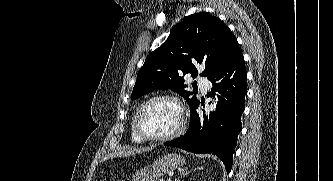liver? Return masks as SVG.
Instances as JSON below:
<instances>
[{"label": "liver", "mask_w": 333, "mask_h": 181, "mask_svg": "<svg viewBox=\"0 0 333 181\" xmlns=\"http://www.w3.org/2000/svg\"><path fill=\"white\" fill-rule=\"evenodd\" d=\"M154 148V146H150V147H142V148H121L117 151H115L113 154L107 156L105 158L109 159V158H113V157H127V156H131V155H135V154H140V153H144V152H148L151 151Z\"/></svg>", "instance_id": "1"}]
</instances>
